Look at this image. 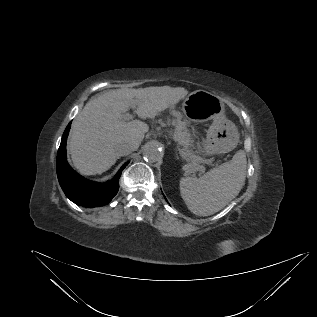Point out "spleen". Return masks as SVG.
Segmentation results:
<instances>
[{
	"label": "spleen",
	"instance_id": "3e777b00",
	"mask_svg": "<svg viewBox=\"0 0 317 317\" xmlns=\"http://www.w3.org/2000/svg\"><path fill=\"white\" fill-rule=\"evenodd\" d=\"M246 165V154L239 150L231 161L200 178H181L180 193L188 209L199 216H209L223 209L242 189Z\"/></svg>",
	"mask_w": 317,
	"mask_h": 317
}]
</instances>
